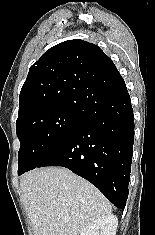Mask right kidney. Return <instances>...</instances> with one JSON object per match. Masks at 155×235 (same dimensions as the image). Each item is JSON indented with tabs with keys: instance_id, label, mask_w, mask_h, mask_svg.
Returning <instances> with one entry per match:
<instances>
[{
	"instance_id": "1",
	"label": "right kidney",
	"mask_w": 155,
	"mask_h": 235,
	"mask_svg": "<svg viewBox=\"0 0 155 235\" xmlns=\"http://www.w3.org/2000/svg\"><path fill=\"white\" fill-rule=\"evenodd\" d=\"M118 219L110 214L90 223L80 235H116Z\"/></svg>"
}]
</instances>
